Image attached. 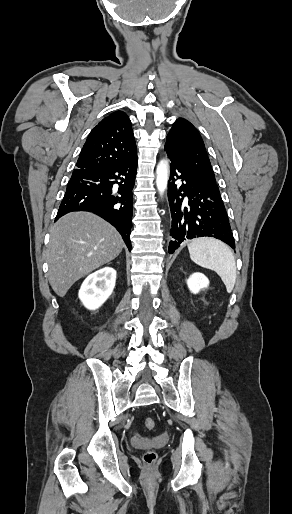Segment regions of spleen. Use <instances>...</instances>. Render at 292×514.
I'll return each mask as SVG.
<instances>
[{
  "mask_svg": "<svg viewBox=\"0 0 292 514\" xmlns=\"http://www.w3.org/2000/svg\"><path fill=\"white\" fill-rule=\"evenodd\" d=\"M188 250L192 262L214 270L230 294L236 282V262L229 246L215 238H195L188 244Z\"/></svg>",
  "mask_w": 292,
  "mask_h": 514,
  "instance_id": "obj_1",
  "label": "spleen"
}]
</instances>
